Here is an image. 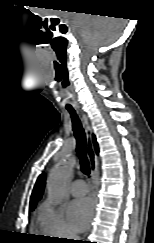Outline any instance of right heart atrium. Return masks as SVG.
<instances>
[{"instance_id": "d8ad5b80", "label": "right heart atrium", "mask_w": 154, "mask_h": 243, "mask_svg": "<svg viewBox=\"0 0 154 243\" xmlns=\"http://www.w3.org/2000/svg\"><path fill=\"white\" fill-rule=\"evenodd\" d=\"M38 224L40 231L51 238L70 239L76 236L68 223L64 210L50 201L41 206Z\"/></svg>"}]
</instances>
